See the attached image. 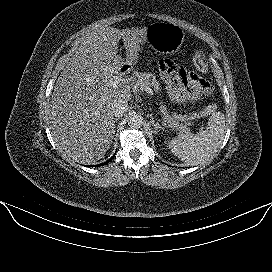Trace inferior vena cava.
Instances as JSON below:
<instances>
[{
  "label": "inferior vena cava",
  "mask_w": 272,
  "mask_h": 272,
  "mask_svg": "<svg viewBox=\"0 0 272 272\" xmlns=\"http://www.w3.org/2000/svg\"><path fill=\"white\" fill-rule=\"evenodd\" d=\"M128 108V103L122 99H119L114 102L112 106V113L116 118H120L127 113Z\"/></svg>",
  "instance_id": "obj_1"
}]
</instances>
